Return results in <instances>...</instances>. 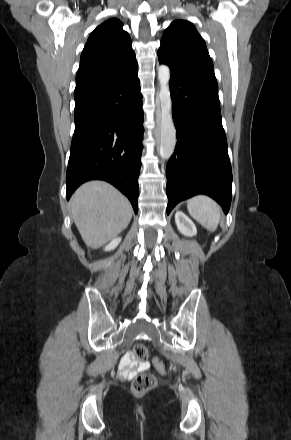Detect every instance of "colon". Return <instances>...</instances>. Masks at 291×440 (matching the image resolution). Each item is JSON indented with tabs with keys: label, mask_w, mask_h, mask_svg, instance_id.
<instances>
[{
	"label": "colon",
	"mask_w": 291,
	"mask_h": 440,
	"mask_svg": "<svg viewBox=\"0 0 291 440\" xmlns=\"http://www.w3.org/2000/svg\"><path fill=\"white\" fill-rule=\"evenodd\" d=\"M134 356L137 359L144 360L149 356L148 349L143 344H136L133 349ZM154 366L160 373L166 372V366L160 359L154 360ZM156 385V378L149 372L140 373L132 382V392L135 395H144L154 388Z\"/></svg>",
	"instance_id": "5ec220e1"
}]
</instances>
